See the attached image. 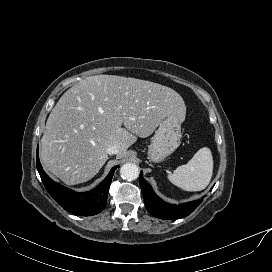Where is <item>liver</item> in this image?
<instances>
[{
    "label": "liver",
    "instance_id": "1",
    "mask_svg": "<svg viewBox=\"0 0 272 272\" xmlns=\"http://www.w3.org/2000/svg\"><path fill=\"white\" fill-rule=\"evenodd\" d=\"M171 114L184 121L186 105L169 87L116 75L87 77L52 109L41 139V162L67 185L84 183L106 163L109 146L118 145L117 158H123L137 137L150 136Z\"/></svg>",
    "mask_w": 272,
    "mask_h": 272
}]
</instances>
